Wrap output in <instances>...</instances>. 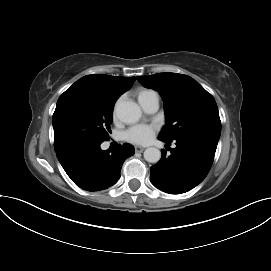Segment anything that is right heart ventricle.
Wrapping results in <instances>:
<instances>
[{"instance_id": "e07e8e85", "label": "right heart ventricle", "mask_w": 271, "mask_h": 271, "mask_svg": "<svg viewBox=\"0 0 271 271\" xmlns=\"http://www.w3.org/2000/svg\"><path fill=\"white\" fill-rule=\"evenodd\" d=\"M152 92L153 91L147 90V89H143V90L139 91V93H138V100H139L140 104H142L149 97V95Z\"/></svg>"}]
</instances>
